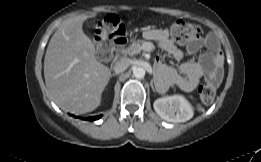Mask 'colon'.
<instances>
[{"instance_id":"1","label":"colon","mask_w":261,"mask_h":162,"mask_svg":"<svg viewBox=\"0 0 261 162\" xmlns=\"http://www.w3.org/2000/svg\"><path fill=\"white\" fill-rule=\"evenodd\" d=\"M95 40L97 42V56L104 61L113 56V46L126 42V30L120 18L115 13L106 14L94 25ZM171 37L178 43L187 44L200 37L201 28L186 20H175L169 27ZM215 82L206 79L199 87L201 104H210L215 97ZM201 109V105L198 106Z\"/></svg>"}]
</instances>
